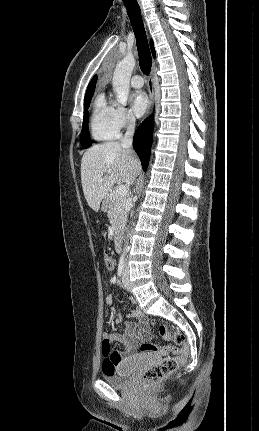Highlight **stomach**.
Segmentation results:
<instances>
[{
    "label": "stomach",
    "instance_id": "0dacf381",
    "mask_svg": "<svg viewBox=\"0 0 259 431\" xmlns=\"http://www.w3.org/2000/svg\"><path fill=\"white\" fill-rule=\"evenodd\" d=\"M106 208H107V204L102 206L103 210H106Z\"/></svg>",
    "mask_w": 259,
    "mask_h": 431
}]
</instances>
